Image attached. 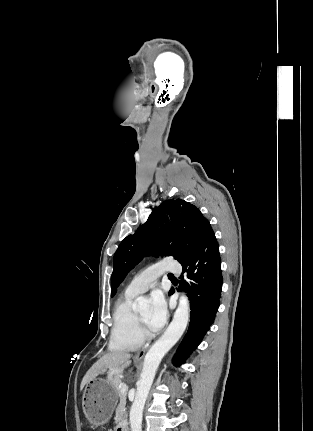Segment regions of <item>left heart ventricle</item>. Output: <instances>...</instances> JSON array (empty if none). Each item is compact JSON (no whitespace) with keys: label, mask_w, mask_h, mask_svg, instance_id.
I'll list each match as a JSON object with an SVG mask.
<instances>
[{"label":"left heart ventricle","mask_w":313,"mask_h":431,"mask_svg":"<svg viewBox=\"0 0 313 431\" xmlns=\"http://www.w3.org/2000/svg\"><path fill=\"white\" fill-rule=\"evenodd\" d=\"M149 313H150L149 308H145L138 313L140 315V317L142 318V320L144 321L146 326H148Z\"/></svg>","instance_id":"left-heart-ventricle-1"}]
</instances>
